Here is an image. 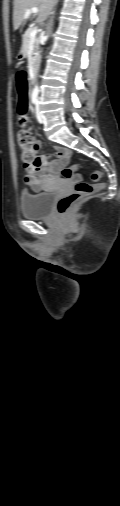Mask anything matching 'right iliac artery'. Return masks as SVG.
Segmentation results:
<instances>
[{
  "label": "right iliac artery",
  "instance_id": "1",
  "mask_svg": "<svg viewBox=\"0 0 120 506\" xmlns=\"http://www.w3.org/2000/svg\"><path fill=\"white\" fill-rule=\"evenodd\" d=\"M31 100H32V103H33V104H36V103H37V101H38V100H37V94H32V95H31Z\"/></svg>",
  "mask_w": 120,
  "mask_h": 506
}]
</instances>
